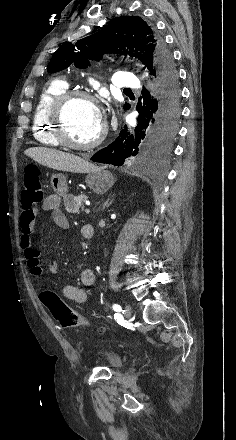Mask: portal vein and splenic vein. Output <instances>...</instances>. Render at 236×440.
Returning <instances> with one entry per match:
<instances>
[{
    "label": "portal vein and splenic vein",
    "mask_w": 236,
    "mask_h": 440,
    "mask_svg": "<svg viewBox=\"0 0 236 440\" xmlns=\"http://www.w3.org/2000/svg\"><path fill=\"white\" fill-rule=\"evenodd\" d=\"M85 212H86V213H90V209H89V208H86V209H85Z\"/></svg>",
    "instance_id": "18ae733b"
}]
</instances>
